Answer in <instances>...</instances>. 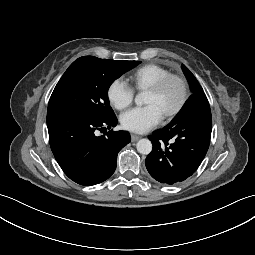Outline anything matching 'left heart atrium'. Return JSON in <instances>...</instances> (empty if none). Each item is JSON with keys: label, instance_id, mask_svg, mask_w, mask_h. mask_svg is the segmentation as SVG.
Wrapping results in <instances>:
<instances>
[{"label": "left heart atrium", "instance_id": "1", "mask_svg": "<svg viewBox=\"0 0 255 255\" xmlns=\"http://www.w3.org/2000/svg\"><path fill=\"white\" fill-rule=\"evenodd\" d=\"M163 118V113L154 104L133 108L122 114L120 121L124 129L145 133L155 127Z\"/></svg>", "mask_w": 255, "mask_h": 255}]
</instances>
